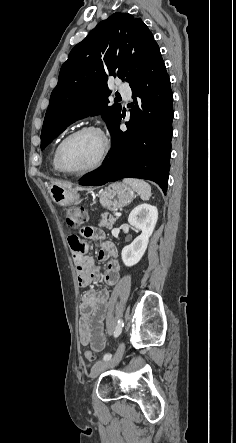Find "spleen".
Listing matches in <instances>:
<instances>
[{"instance_id":"3e777b00","label":"spleen","mask_w":236,"mask_h":443,"mask_svg":"<svg viewBox=\"0 0 236 443\" xmlns=\"http://www.w3.org/2000/svg\"><path fill=\"white\" fill-rule=\"evenodd\" d=\"M123 183L131 186L140 195L142 200H148L152 195L151 186L144 180L127 178L123 180Z\"/></svg>"}]
</instances>
